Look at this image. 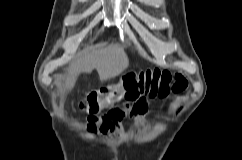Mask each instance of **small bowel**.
I'll list each match as a JSON object with an SVG mask.
<instances>
[{"label":"small bowel","mask_w":242,"mask_h":160,"mask_svg":"<svg viewBox=\"0 0 242 160\" xmlns=\"http://www.w3.org/2000/svg\"><path fill=\"white\" fill-rule=\"evenodd\" d=\"M143 102H138L135 105L141 104ZM121 112V117L114 122H103L101 125V129L104 133L108 134L110 137H115L117 136V134L120 133L121 131V126H120V121L122 120V118L125 116V114L127 113L126 110L123 108L120 110ZM142 117H134L136 119L137 123H141L142 122Z\"/></svg>","instance_id":"c3829d8e"}]
</instances>
